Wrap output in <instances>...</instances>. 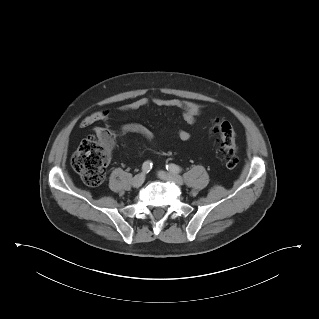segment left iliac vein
I'll return each instance as SVG.
<instances>
[{
	"mask_svg": "<svg viewBox=\"0 0 319 319\" xmlns=\"http://www.w3.org/2000/svg\"><path fill=\"white\" fill-rule=\"evenodd\" d=\"M158 177L162 180H167V181H171V182H175L179 185L183 184V178L173 172H164V171H159L158 172Z\"/></svg>",
	"mask_w": 319,
	"mask_h": 319,
	"instance_id": "4c4485c4",
	"label": "left iliac vein"
}]
</instances>
